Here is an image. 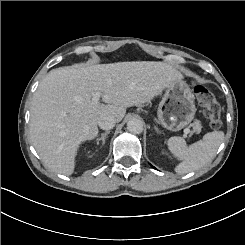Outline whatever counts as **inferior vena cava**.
<instances>
[{
	"instance_id": "602c4592",
	"label": "inferior vena cava",
	"mask_w": 245,
	"mask_h": 245,
	"mask_svg": "<svg viewBox=\"0 0 245 245\" xmlns=\"http://www.w3.org/2000/svg\"><path fill=\"white\" fill-rule=\"evenodd\" d=\"M115 123V117L110 114H102L98 119V125L103 130L112 129L115 126Z\"/></svg>"
}]
</instances>
